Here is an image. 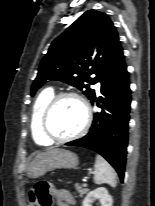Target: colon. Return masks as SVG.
Listing matches in <instances>:
<instances>
[{"mask_svg": "<svg viewBox=\"0 0 155 206\" xmlns=\"http://www.w3.org/2000/svg\"><path fill=\"white\" fill-rule=\"evenodd\" d=\"M51 185L47 181L38 182L30 191L29 199L40 206H50Z\"/></svg>", "mask_w": 155, "mask_h": 206, "instance_id": "obj_1", "label": "colon"}]
</instances>
